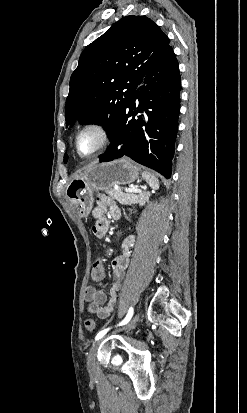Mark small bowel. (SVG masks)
<instances>
[{"instance_id": "1", "label": "small bowel", "mask_w": 247, "mask_h": 413, "mask_svg": "<svg viewBox=\"0 0 247 413\" xmlns=\"http://www.w3.org/2000/svg\"><path fill=\"white\" fill-rule=\"evenodd\" d=\"M95 219L93 232L97 236L106 234L109 228L110 220H116L120 217V208L118 204L108 195L100 194L96 200V207L92 211ZM135 243V237L130 235L125 238L121 245L122 255L116 258L111 264L113 275V284L109 292L110 298L107 299L105 292L95 287H87L85 290V300L89 303L88 311L97 315L101 319H106L114 310L117 293L122 288L125 271L129 266L131 257V248ZM105 277H100L97 284H101Z\"/></svg>"}]
</instances>
